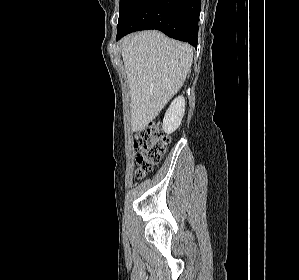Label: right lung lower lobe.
<instances>
[{"label": "right lung lower lobe", "mask_w": 299, "mask_h": 280, "mask_svg": "<svg viewBox=\"0 0 299 280\" xmlns=\"http://www.w3.org/2000/svg\"><path fill=\"white\" fill-rule=\"evenodd\" d=\"M200 10L201 0H124L116 40L134 31L156 29L196 47Z\"/></svg>", "instance_id": "obj_1"}]
</instances>
